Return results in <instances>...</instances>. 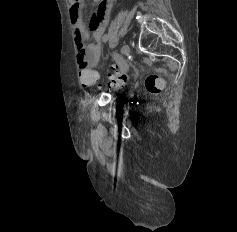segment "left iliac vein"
<instances>
[{"instance_id": "1", "label": "left iliac vein", "mask_w": 237, "mask_h": 232, "mask_svg": "<svg viewBox=\"0 0 237 232\" xmlns=\"http://www.w3.org/2000/svg\"><path fill=\"white\" fill-rule=\"evenodd\" d=\"M130 52V47L128 44H124L121 48V56H125L127 54H129Z\"/></svg>"}]
</instances>
